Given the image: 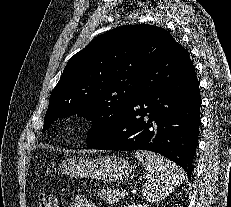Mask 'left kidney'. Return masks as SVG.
Here are the masks:
<instances>
[{
    "instance_id": "left-kidney-1",
    "label": "left kidney",
    "mask_w": 231,
    "mask_h": 207,
    "mask_svg": "<svg viewBox=\"0 0 231 207\" xmlns=\"http://www.w3.org/2000/svg\"><path fill=\"white\" fill-rule=\"evenodd\" d=\"M129 207H152L151 205H148V204H141V203H138V204H132L131 206Z\"/></svg>"
}]
</instances>
